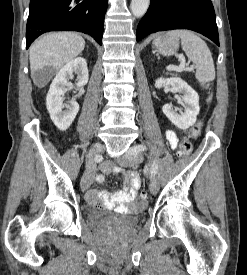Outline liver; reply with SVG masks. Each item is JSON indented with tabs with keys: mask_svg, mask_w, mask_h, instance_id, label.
Instances as JSON below:
<instances>
[{
	"mask_svg": "<svg viewBox=\"0 0 247 275\" xmlns=\"http://www.w3.org/2000/svg\"><path fill=\"white\" fill-rule=\"evenodd\" d=\"M85 40L74 32L49 33L35 41L29 52L31 75L51 67L58 71L84 50ZM41 85V84H39Z\"/></svg>",
	"mask_w": 247,
	"mask_h": 275,
	"instance_id": "obj_1",
	"label": "liver"
}]
</instances>
